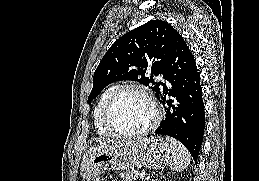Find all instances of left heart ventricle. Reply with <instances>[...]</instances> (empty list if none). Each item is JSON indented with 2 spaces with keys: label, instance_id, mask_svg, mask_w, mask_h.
<instances>
[{
  "label": "left heart ventricle",
  "instance_id": "obj_1",
  "mask_svg": "<svg viewBox=\"0 0 259 181\" xmlns=\"http://www.w3.org/2000/svg\"><path fill=\"white\" fill-rule=\"evenodd\" d=\"M150 103L138 91H126L117 99L111 121L120 131L132 132L144 128L152 119Z\"/></svg>",
  "mask_w": 259,
  "mask_h": 181
}]
</instances>
